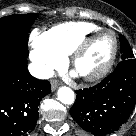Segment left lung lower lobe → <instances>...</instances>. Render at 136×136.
<instances>
[{
	"label": "left lung lower lobe",
	"mask_w": 136,
	"mask_h": 136,
	"mask_svg": "<svg viewBox=\"0 0 136 136\" xmlns=\"http://www.w3.org/2000/svg\"><path fill=\"white\" fill-rule=\"evenodd\" d=\"M76 93V102L70 109L73 119L94 135L114 132L135 106L136 60H122L101 83Z\"/></svg>",
	"instance_id": "0a47b994"
}]
</instances>
